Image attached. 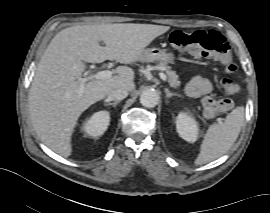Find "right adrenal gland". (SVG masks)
Returning <instances> with one entry per match:
<instances>
[{"mask_svg":"<svg viewBox=\"0 0 270 213\" xmlns=\"http://www.w3.org/2000/svg\"><path fill=\"white\" fill-rule=\"evenodd\" d=\"M119 104V101H115V102H109L107 99L104 100V105L105 106H113L116 107V105Z\"/></svg>","mask_w":270,"mask_h":213,"instance_id":"1","label":"right adrenal gland"}]
</instances>
